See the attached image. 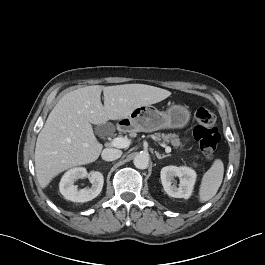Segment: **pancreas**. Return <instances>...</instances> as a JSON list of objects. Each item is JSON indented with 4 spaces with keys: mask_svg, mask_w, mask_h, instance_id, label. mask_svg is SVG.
<instances>
[{
    "mask_svg": "<svg viewBox=\"0 0 265 265\" xmlns=\"http://www.w3.org/2000/svg\"><path fill=\"white\" fill-rule=\"evenodd\" d=\"M155 139L157 141H162L163 143L167 144V143H171V145L174 148H178V147H182V143L180 142V139L178 137V135L176 134H164V133H156L155 134ZM193 165L196 167L197 164L193 163Z\"/></svg>",
    "mask_w": 265,
    "mask_h": 265,
    "instance_id": "1",
    "label": "pancreas"
}]
</instances>
